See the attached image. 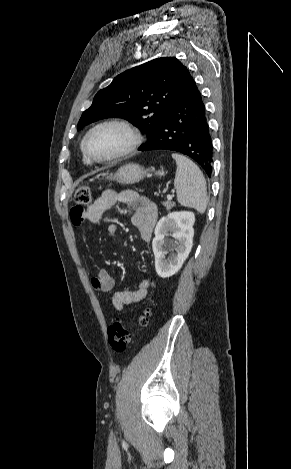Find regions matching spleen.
<instances>
[{"label":"spleen","instance_id":"1","mask_svg":"<svg viewBox=\"0 0 291 469\" xmlns=\"http://www.w3.org/2000/svg\"><path fill=\"white\" fill-rule=\"evenodd\" d=\"M172 158L177 164L174 187L178 202L203 214L207 208L208 196L206 181L201 170L186 156L174 153Z\"/></svg>","mask_w":291,"mask_h":469}]
</instances>
